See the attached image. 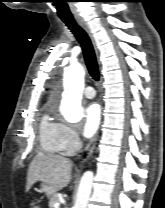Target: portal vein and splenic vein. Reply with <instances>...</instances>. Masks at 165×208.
Returning a JSON list of instances; mask_svg holds the SVG:
<instances>
[{
    "mask_svg": "<svg viewBox=\"0 0 165 208\" xmlns=\"http://www.w3.org/2000/svg\"><path fill=\"white\" fill-rule=\"evenodd\" d=\"M59 206H60V204H59V203H56V204L54 205V208H59Z\"/></svg>",
    "mask_w": 165,
    "mask_h": 208,
    "instance_id": "1",
    "label": "portal vein and splenic vein"
}]
</instances>
